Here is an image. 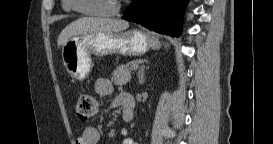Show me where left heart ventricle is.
Wrapping results in <instances>:
<instances>
[{
    "label": "left heart ventricle",
    "instance_id": "left-heart-ventricle-1",
    "mask_svg": "<svg viewBox=\"0 0 273 144\" xmlns=\"http://www.w3.org/2000/svg\"><path fill=\"white\" fill-rule=\"evenodd\" d=\"M116 0H80V6L87 10H108Z\"/></svg>",
    "mask_w": 273,
    "mask_h": 144
}]
</instances>
